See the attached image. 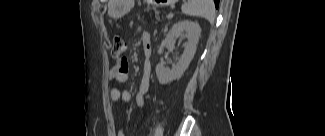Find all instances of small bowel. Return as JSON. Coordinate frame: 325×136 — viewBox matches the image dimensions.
<instances>
[{
	"instance_id": "small-bowel-1",
	"label": "small bowel",
	"mask_w": 325,
	"mask_h": 136,
	"mask_svg": "<svg viewBox=\"0 0 325 136\" xmlns=\"http://www.w3.org/2000/svg\"><path fill=\"white\" fill-rule=\"evenodd\" d=\"M143 42L147 48L150 45V35L145 34ZM151 65L148 59H145L142 74L139 80V91L135 96V103L137 107L144 108L146 95L150 85ZM109 79L115 83H126L129 79V62L123 58L119 60L109 71ZM110 100L114 103L123 101L128 102L131 100V93L128 91H121L117 87L110 90ZM118 136H123L122 131L117 132Z\"/></svg>"
}]
</instances>
